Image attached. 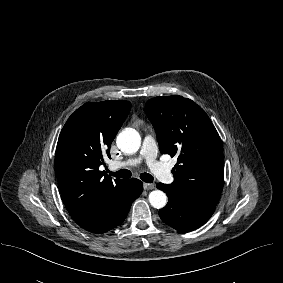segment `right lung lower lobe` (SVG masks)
<instances>
[{
	"mask_svg": "<svg viewBox=\"0 0 283 283\" xmlns=\"http://www.w3.org/2000/svg\"><path fill=\"white\" fill-rule=\"evenodd\" d=\"M142 191L143 184L140 180L136 178L127 180L125 189L114 198L110 206L93 221L81 227L98 234L115 228L124 221L132 202L140 196Z\"/></svg>",
	"mask_w": 283,
	"mask_h": 283,
	"instance_id": "98d812e1",
	"label": "right lung lower lobe"
}]
</instances>
